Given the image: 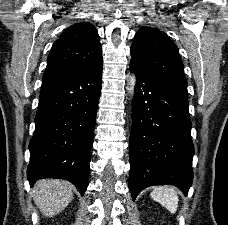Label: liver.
<instances>
[{"label": "liver", "mask_w": 228, "mask_h": 225, "mask_svg": "<svg viewBox=\"0 0 228 225\" xmlns=\"http://www.w3.org/2000/svg\"><path fill=\"white\" fill-rule=\"evenodd\" d=\"M34 203L44 217H55L73 199V187L68 181L59 179H43L33 187Z\"/></svg>", "instance_id": "liver-1"}]
</instances>
